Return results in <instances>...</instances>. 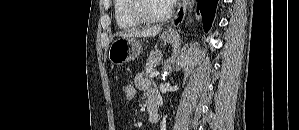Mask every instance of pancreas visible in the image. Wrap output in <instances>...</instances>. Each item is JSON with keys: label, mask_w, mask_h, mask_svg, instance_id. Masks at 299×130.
I'll list each match as a JSON object with an SVG mask.
<instances>
[{"label": "pancreas", "mask_w": 299, "mask_h": 130, "mask_svg": "<svg viewBox=\"0 0 299 130\" xmlns=\"http://www.w3.org/2000/svg\"><path fill=\"white\" fill-rule=\"evenodd\" d=\"M162 52L158 50L151 51L145 65V71L148 73L153 70L162 59Z\"/></svg>", "instance_id": "obj_1"}]
</instances>
